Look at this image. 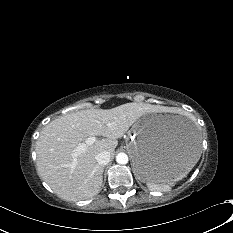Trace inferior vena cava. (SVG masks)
<instances>
[{"label": "inferior vena cava", "mask_w": 233, "mask_h": 233, "mask_svg": "<svg viewBox=\"0 0 233 233\" xmlns=\"http://www.w3.org/2000/svg\"><path fill=\"white\" fill-rule=\"evenodd\" d=\"M111 154L108 151H101L96 156L95 159L99 165H106L110 162Z\"/></svg>", "instance_id": "602c4592"}]
</instances>
